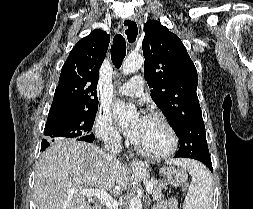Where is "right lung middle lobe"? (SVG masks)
Instances as JSON below:
<instances>
[{"label":"right lung middle lobe","instance_id":"1","mask_svg":"<svg viewBox=\"0 0 253 209\" xmlns=\"http://www.w3.org/2000/svg\"><path fill=\"white\" fill-rule=\"evenodd\" d=\"M97 110L98 106H95L86 110L65 111L48 116L41 150L43 151L51 143L65 138L77 140L90 138L93 134H89V132L92 129Z\"/></svg>","mask_w":253,"mask_h":209}]
</instances>
